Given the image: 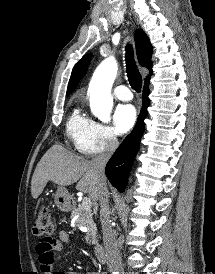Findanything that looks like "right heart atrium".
<instances>
[{
  "mask_svg": "<svg viewBox=\"0 0 215 274\" xmlns=\"http://www.w3.org/2000/svg\"><path fill=\"white\" fill-rule=\"evenodd\" d=\"M118 143L116 131L111 126L92 121L89 133L77 149L86 156H93L115 150Z\"/></svg>",
  "mask_w": 215,
  "mask_h": 274,
  "instance_id": "1",
  "label": "right heart atrium"
}]
</instances>
